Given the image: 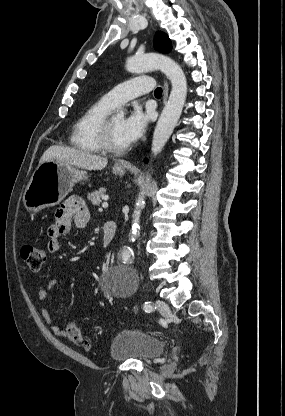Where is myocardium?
<instances>
[{
  "label": "myocardium",
  "instance_id": "myocardium-1",
  "mask_svg": "<svg viewBox=\"0 0 285 416\" xmlns=\"http://www.w3.org/2000/svg\"><path fill=\"white\" fill-rule=\"evenodd\" d=\"M109 123H110V117L105 116L101 120L97 128V139H98L100 148L102 149V151L107 152L109 154L121 155L127 151L128 147L125 146V147L118 148L111 144L110 138H109Z\"/></svg>",
  "mask_w": 285,
  "mask_h": 416
}]
</instances>
